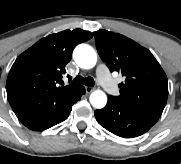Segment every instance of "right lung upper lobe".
<instances>
[{
    "instance_id": "cb5924a9",
    "label": "right lung upper lobe",
    "mask_w": 181,
    "mask_h": 164,
    "mask_svg": "<svg viewBox=\"0 0 181 164\" xmlns=\"http://www.w3.org/2000/svg\"><path fill=\"white\" fill-rule=\"evenodd\" d=\"M92 38L75 29L49 35L23 52L9 72L6 91L15 112H42L67 101L80 87H60L76 45Z\"/></svg>"
}]
</instances>
